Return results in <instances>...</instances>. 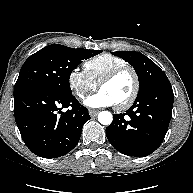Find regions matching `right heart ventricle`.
I'll return each instance as SVG.
<instances>
[{
    "mask_svg": "<svg viewBox=\"0 0 193 193\" xmlns=\"http://www.w3.org/2000/svg\"><path fill=\"white\" fill-rule=\"evenodd\" d=\"M125 65L128 62L123 58L103 53L86 60L83 67L87 76L97 85L110 71Z\"/></svg>",
    "mask_w": 193,
    "mask_h": 193,
    "instance_id": "right-heart-ventricle-1",
    "label": "right heart ventricle"
}]
</instances>
